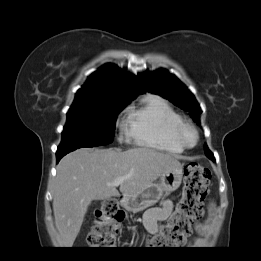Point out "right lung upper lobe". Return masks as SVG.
<instances>
[{"label": "right lung upper lobe", "mask_w": 261, "mask_h": 261, "mask_svg": "<svg viewBox=\"0 0 261 261\" xmlns=\"http://www.w3.org/2000/svg\"><path fill=\"white\" fill-rule=\"evenodd\" d=\"M142 93H145V90L134 75L107 64L89 76L85 85L77 91L75 100L95 97L132 100Z\"/></svg>", "instance_id": "cb5924a9"}]
</instances>
